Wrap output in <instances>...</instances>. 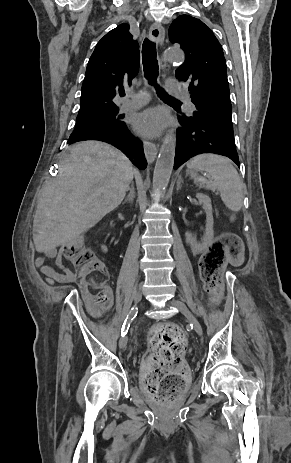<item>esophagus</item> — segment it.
Listing matches in <instances>:
<instances>
[{
	"instance_id": "1",
	"label": "esophagus",
	"mask_w": 291,
	"mask_h": 463,
	"mask_svg": "<svg viewBox=\"0 0 291 463\" xmlns=\"http://www.w3.org/2000/svg\"><path fill=\"white\" fill-rule=\"evenodd\" d=\"M149 36L153 41H157L160 45L163 44L165 38L164 28L160 23H153L149 30ZM160 68L164 69L167 65L166 60L158 57ZM144 152L148 162H153L158 153V145L149 141H144Z\"/></svg>"
}]
</instances>
